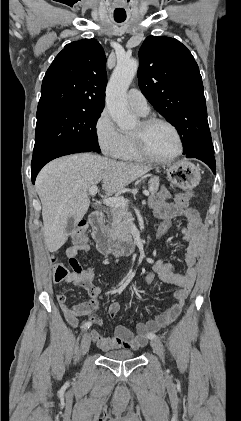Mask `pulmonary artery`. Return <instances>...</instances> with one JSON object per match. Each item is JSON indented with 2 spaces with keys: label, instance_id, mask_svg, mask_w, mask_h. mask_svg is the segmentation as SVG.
I'll return each mask as SVG.
<instances>
[{
  "label": "pulmonary artery",
  "instance_id": "pulmonary-artery-1",
  "mask_svg": "<svg viewBox=\"0 0 241 421\" xmlns=\"http://www.w3.org/2000/svg\"><path fill=\"white\" fill-rule=\"evenodd\" d=\"M127 98L130 107L134 111L142 115H146L149 112L147 100L138 89H130Z\"/></svg>",
  "mask_w": 241,
  "mask_h": 421
}]
</instances>
